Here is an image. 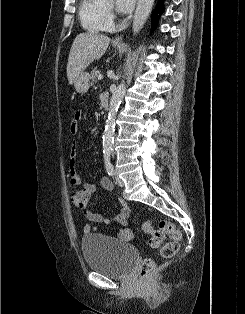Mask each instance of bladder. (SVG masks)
<instances>
[{
  "mask_svg": "<svg viewBox=\"0 0 245 314\" xmlns=\"http://www.w3.org/2000/svg\"><path fill=\"white\" fill-rule=\"evenodd\" d=\"M81 248L86 266L107 276L126 275L138 258L132 246L98 234L84 236Z\"/></svg>",
  "mask_w": 245,
  "mask_h": 314,
  "instance_id": "31cf9c89",
  "label": "bladder"
}]
</instances>
